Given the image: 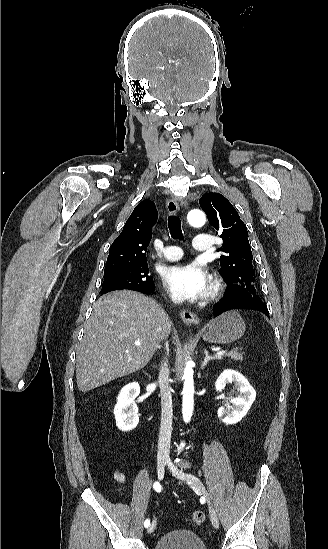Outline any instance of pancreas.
I'll return each instance as SVG.
<instances>
[{"label":"pancreas","mask_w":328,"mask_h":549,"mask_svg":"<svg viewBox=\"0 0 328 549\" xmlns=\"http://www.w3.org/2000/svg\"><path fill=\"white\" fill-rule=\"evenodd\" d=\"M225 357H230V359H233V361H243V353H236V351H230V353H226ZM216 359H222L221 355H219V357H216Z\"/></svg>","instance_id":"pancreas-1"}]
</instances>
